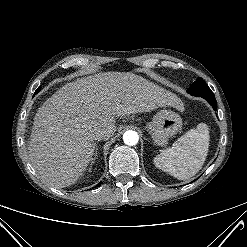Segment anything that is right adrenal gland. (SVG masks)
<instances>
[{
    "mask_svg": "<svg viewBox=\"0 0 247 247\" xmlns=\"http://www.w3.org/2000/svg\"><path fill=\"white\" fill-rule=\"evenodd\" d=\"M97 151H98V147L96 148V151H95V154H94V158L92 159L93 161H92L91 165L94 164V162H95V160L97 158ZM91 168H92V166L90 167V170H91Z\"/></svg>",
    "mask_w": 247,
    "mask_h": 247,
    "instance_id": "obj_1",
    "label": "right adrenal gland"
}]
</instances>
